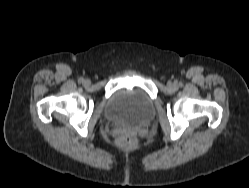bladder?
I'll list each match as a JSON object with an SVG mask.
<instances>
[{
  "mask_svg": "<svg viewBox=\"0 0 249 188\" xmlns=\"http://www.w3.org/2000/svg\"><path fill=\"white\" fill-rule=\"evenodd\" d=\"M105 113L114 121L141 124L153 117L154 104L141 90L121 89L109 100Z\"/></svg>",
  "mask_w": 249,
  "mask_h": 188,
  "instance_id": "1",
  "label": "bladder"
}]
</instances>
